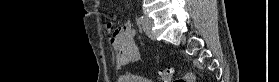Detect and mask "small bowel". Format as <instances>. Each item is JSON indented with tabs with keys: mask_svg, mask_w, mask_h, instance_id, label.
Here are the masks:
<instances>
[{
	"mask_svg": "<svg viewBox=\"0 0 279 82\" xmlns=\"http://www.w3.org/2000/svg\"><path fill=\"white\" fill-rule=\"evenodd\" d=\"M105 28L110 32V41L116 49L114 59L117 65L134 63L140 59V50L133 38L130 23H125L116 29H113L111 23H107Z\"/></svg>",
	"mask_w": 279,
	"mask_h": 82,
	"instance_id": "1",
	"label": "small bowel"
}]
</instances>
